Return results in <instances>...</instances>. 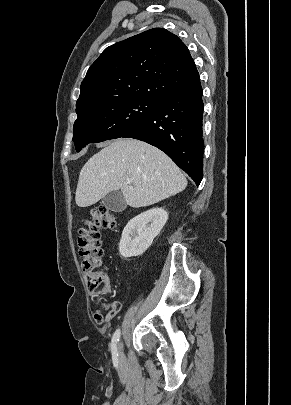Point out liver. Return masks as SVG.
<instances>
[{
	"instance_id": "liver-1",
	"label": "liver",
	"mask_w": 291,
	"mask_h": 405,
	"mask_svg": "<svg viewBox=\"0 0 291 405\" xmlns=\"http://www.w3.org/2000/svg\"><path fill=\"white\" fill-rule=\"evenodd\" d=\"M186 186L185 176L164 152L140 140L120 138L82 167L75 201L79 207L91 206L120 189L126 203L139 208L174 196Z\"/></svg>"
}]
</instances>
